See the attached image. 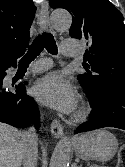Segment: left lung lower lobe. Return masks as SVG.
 <instances>
[{
    "instance_id": "1",
    "label": "left lung lower lobe",
    "mask_w": 125,
    "mask_h": 167,
    "mask_svg": "<svg viewBox=\"0 0 125 167\" xmlns=\"http://www.w3.org/2000/svg\"><path fill=\"white\" fill-rule=\"evenodd\" d=\"M90 106L93 109L91 118L80 125L75 134L104 127L125 130V89L104 90Z\"/></svg>"
}]
</instances>
